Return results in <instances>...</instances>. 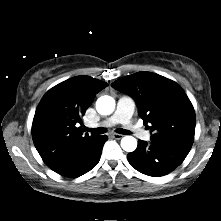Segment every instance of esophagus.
I'll return each mask as SVG.
<instances>
[{"label":"esophagus","mask_w":221,"mask_h":221,"mask_svg":"<svg viewBox=\"0 0 221 221\" xmlns=\"http://www.w3.org/2000/svg\"><path fill=\"white\" fill-rule=\"evenodd\" d=\"M122 137H123V135H121V134H117V133L112 134V138H114L116 140H120Z\"/></svg>","instance_id":"obj_1"}]
</instances>
